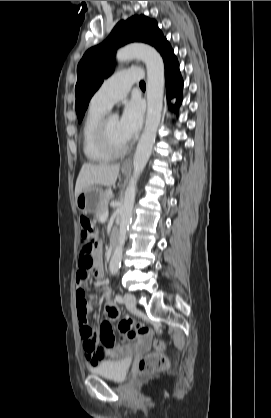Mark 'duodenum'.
<instances>
[{
  "label": "duodenum",
  "instance_id": "410a0bca",
  "mask_svg": "<svg viewBox=\"0 0 271 418\" xmlns=\"http://www.w3.org/2000/svg\"><path fill=\"white\" fill-rule=\"evenodd\" d=\"M117 240H118V234L117 232H113L111 236V240H110V246H109L110 253H113L114 249L116 248Z\"/></svg>",
  "mask_w": 271,
  "mask_h": 418
}]
</instances>
